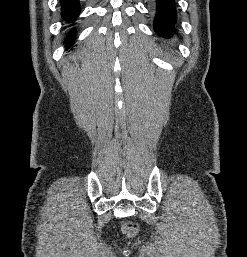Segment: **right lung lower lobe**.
Returning a JSON list of instances; mask_svg holds the SVG:
<instances>
[{
	"mask_svg": "<svg viewBox=\"0 0 247 257\" xmlns=\"http://www.w3.org/2000/svg\"><path fill=\"white\" fill-rule=\"evenodd\" d=\"M62 6V16L68 21H74L80 12L79 0H60ZM74 33H70L66 38V42L72 43Z\"/></svg>",
	"mask_w": 247,
	"mask_h": 257,
	"instance_id": "obj_1",
	"label": "right lung lower lobe"
}]
</instances>
